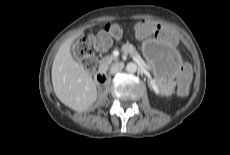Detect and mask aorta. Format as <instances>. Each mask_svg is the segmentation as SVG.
<instances>
[{
  "instance_id": "obj_1",
  "label": "aorta",
  "mask_w": 230,
  "mask_h": 155,
  "mask_svg": "<svg viewBox=\"0 0 230 155\" xmlns=\"http://www.w3.org/2000/svg\"><path fill=\"white\" fill-rule=\"evenodd\" d=\"M126 71L129 73H135L137 71V64L130 62L126 65Z\"/></svg>"
}]
</instances>
